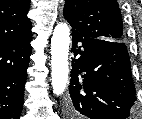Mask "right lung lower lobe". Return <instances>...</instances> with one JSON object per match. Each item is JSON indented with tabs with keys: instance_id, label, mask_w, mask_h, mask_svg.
Here are the masks:
<instances>
[{
	"instance_id": "right-lung-lower-lobe-1",
	"label": "right lung lower lobe",
	"mask_w": 142,
	"mask_h": 119,
	"mask_svg": "<svg viewBox=\"0 0 142 119\" xmlns=\"http://www.w3.org/2000/svg\"><path fill=\"white\" fill-rule=\"evenodd\" d=\"M31 38L30 34L0 46V119H20Z\"/></svg>"
}]
</instances>
